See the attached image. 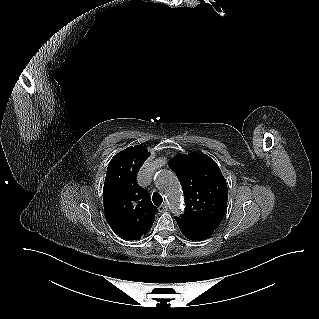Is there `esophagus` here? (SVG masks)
<instances>
[{"label": "esophagus", "instance_id": "esophagus-1", "mask_svg": "<svg viewBox=\"0 0 319 319\" xmlns=\"http://www.w3.org/2000/svg\"><path fill=\"white\" fill-rule=\"evenodd\" d=\"M168 210V205L166 202H164L160 207H159V211L160 212H165Z\"/></svg>", "mask_w": 319, "mask_h": 319}]
</instances>
